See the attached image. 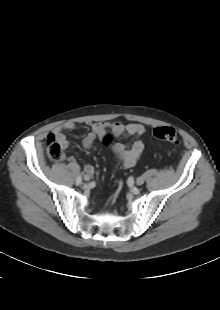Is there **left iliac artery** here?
I'll return each instance as SVG.
<instances>
[{
  "label": "left iliac artery",
  "mask_w": 220,
  "mask_h": 310,
  "mask_svg": "<svg viewBox=\"0 0 220 310\" xmlns=\"http://www.w3.org/2000/svg\"><path fill=\"white\" fill-rule=\"evenodd\" d=\"M134 184V178L132 176H130L127 180V185L128 186H132Z\"/></svg>",
  "instance_id": "44dca946"
}]
</instances>
